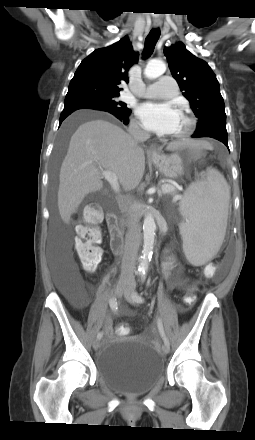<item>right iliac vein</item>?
Masks as SVG:
<instances>
[{
    "instance_id": "obj_1",
    "label": "right iliac vein",
    "mask_w": 255,
    "mask_h": 440,
    "mask_svg": "<svg viewBox=\"0 0 255 440\" xmlns=\"http://www.w3.org/2000/svg\"><path fill=\"white\" fill-rule=\"evenodd\" d=\"M126 289H127V284H126L125 281H120V282H118L117 285H116V287H115V290H114V294H115V296H116V297H120V296H122V294L126 291ZM99 346H100V341H99V339H95V340L93 341V348H94V350L97 351L98 348H99Z\"/></svg>"
}]
</instances>
